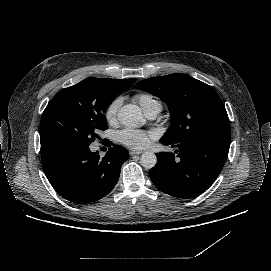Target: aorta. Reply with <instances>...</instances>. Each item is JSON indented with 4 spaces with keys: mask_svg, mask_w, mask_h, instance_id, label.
<instances>
[{
    "mask_svg": "<svg viewBox=\"0 0 271 271\" xmlns=\"http://www.w3.org/2000/svg\"><path fill=\"white\" fill-rule=\"evenodd\" d=\"M118 120L128 128L141 127L146 123L139 106L127 104L120 108L117 113ZM141 165L146 169L153 168L157 163V157L153 152H144L140 158Z\"/></svg>",
    "mask_w": 271,
    "mask_h": 271,
    "instance_id": "762f6f07",
    "label": "aorta"
}]
</instances>
